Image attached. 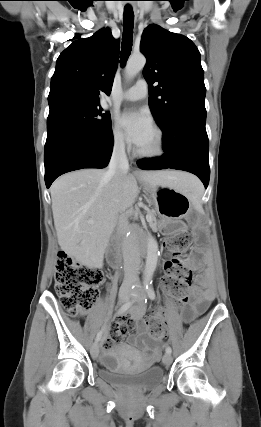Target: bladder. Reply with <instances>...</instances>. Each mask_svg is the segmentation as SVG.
Here are the masks:
<instances>
[{"label": "bladder", "mask_w": 261, "mask_h": 427, "mask_svg": "<svg viewBox=\"0 0 261 427\" xmlns=\"http://www.w3.org/2000/svg\"><path fill=\"white\" fill-rule=\"evenodd\" d=\"M98 375L111 385L136 391L151 390L159 386L165 377L164 370L159 366H152L143 371L124 367L113 353L103 357Z\"/></svg>", "instance_id": "obj_1"}]
</instances>
